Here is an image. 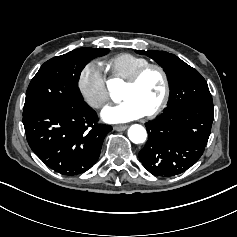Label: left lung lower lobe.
I'll return each mask as SVG.
<instances>
[{"mask_svg": "<svg viewBox=\"0 0 237 237\" xmlns=\"http://www.w3.org/2000/svg\"><path fill=\"white\" fill-rule=\"evenodd\" d=\"M166 117L173 122H179L183 120H202L208 127L211 128L214 119V109L213 107H193L178 109L167 114ZM196 161L197 160H178L175 163L189 169L192 165L195 164ZM144 167L154 175L153 169L156 167V164L144 165Z\"/></svg>", "mask_w": 237, "mask_h": 237, "instance_id": "left-lung-lower-lobe-1", "label": "left lung lower lobe"}]
</instances>
